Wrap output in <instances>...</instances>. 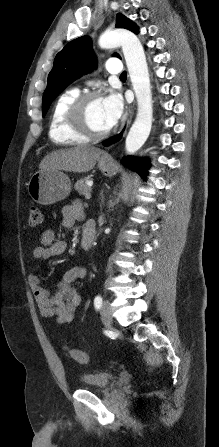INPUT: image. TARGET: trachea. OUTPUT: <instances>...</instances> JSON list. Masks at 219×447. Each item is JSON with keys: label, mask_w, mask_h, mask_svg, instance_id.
I'll return each mask as SVG.
<instances>
[{"label": "trachea", "mask_w": 219, "mask_h": 447, "mask_svg": "<svg viewBox=\"0 0 219 447\" xmlns=\"http://www.w3.org/2000/svg\"><path fill=\"white\" fill-rule=\"evenodd\" d=\"M127 77V73H126V71H124L121 75H120V78H126Z\"/></svg>", "instance_id": "3493384b"}]
</instances>
